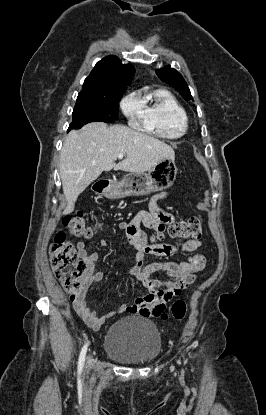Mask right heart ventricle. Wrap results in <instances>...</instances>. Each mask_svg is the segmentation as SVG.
Here are the masks:
<instances>
[{"mask_svg":"<svg viewBox=\"0 0 266 415\" xmlns=\"http://www.w3.org/2000/svg\"><path fill=\"white\" fill-rule=\"evenodd\" d=\"M139 100L145 130L168 139L178 138L186 133V110L172 93L158 89L144 94Z\"/></svg>","mask_w":266,"mask_h":415,"instance_id":"1","label":"right heart ventricle"}]
</instances>
